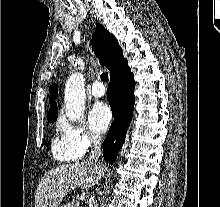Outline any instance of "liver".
Instances as JSON below:
<instances>
[{"label": "liver", "mask_w": 220, "mask_h": 207, "mask_svg": "<svg viewBox=\"0 0 220 207\" xmlns=\"http://www.w3.org/2000/svg\"><path fill=\"white\" fill-rule=\"evenodd\" d=\"M105 175V167L90 162L64 164L47 171L36 191L35 207H59L63 198L77 187L89 189Z\"/></svg>", "instance_id": "1"}]
</instances>
